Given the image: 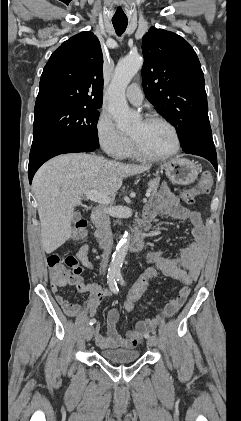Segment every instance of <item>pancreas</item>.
Listing matches in <instances>:
<instances>
[{
	"mask_svg": "<svg viewBox=\"0 0 241 421\" xmlns=\"http://www.w3.org/2000/svg\"><path fill=\"white\" fill-rule=\"evenodd\" d=\"M159 181H160V178H155V179H151L148 182V187H149L148 191H150L151 194H156L157 189L159 187Z\"/></svg>",
	"mask_w": 241,
	"mask_h": 421,
	"instance_id": "obj_1",
	"label": "pancreas"
}]
</instances>
